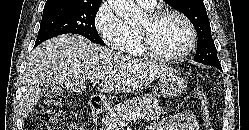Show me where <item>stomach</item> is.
<instances>
[{
    "label": "stomach",
    "instance_id": "1",
    "mask_svg": "<svg viewBox=\"0 0 249 130\" xmlns=\"http://www.w3.org/2000/svg\"><path fill=\"white\" fill-rule=\"evenodd\" d=\"M159 87L164 97H177L186 90L187 84L177 71L172 70L159 77Z\"/></svg>",
    "mask_w": 249,
    "mask_h": 130
}]
</instances>
